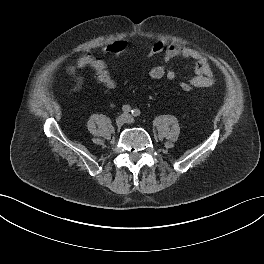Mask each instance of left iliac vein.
<instances>
[{"instance_id": "obj_1", "label": "left iliac vein", "mask_w": 264, "mask_h": 264, "mask_svg": "<svg viewBox=\"0 0 264 264\" xmlns=\"http://www.w3.org/2000/svg\"><path fill=\"white\" fill-rule=\"evenodd\" d=\"M126 117H127V120H126L127 123H133L134 122V118L132 116L126 115Z\"/></svg>"}]
</instances>
